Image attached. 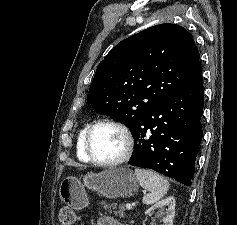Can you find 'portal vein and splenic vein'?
Segmentation results:
<instances>
[{"mask_svg": "<svg viewBox=\"0 0 237 225\" xmlns=\"http://www.w3.org/2000/svg\"><path fill=\"white\" fill-rule=\"evenodd\" d=\"M126 208L130 210L132 208V205L130 203L126 204Z\"/></svg>", "mask_w": 237, "mask_h": 225, "instance_id": "1", "label": "portal vein and splenic vein"}]
</instances>
